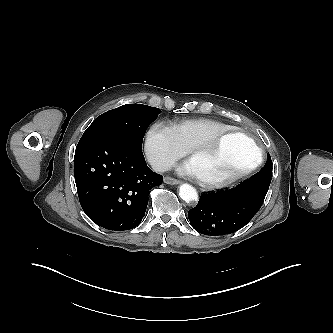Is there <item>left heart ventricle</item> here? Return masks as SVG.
Here are the masks:
<instances>
[{"instance_id":"obj_1","label":"left heart ventricle","mask_w":333,"mask_h":333,"mask_svg":"<svg viewBox=\"0 0 333 333\" xmlns=\"http://www.w3.org/2000/svg\"><path fill=\"white\" fill-rule=\"evenodd\" d=\"M256 155V149L247 137L233 134L222 139L212 151L192 157L190 163L196 176L220 179L247 167Z\"/></svg>"}]
</instances>
